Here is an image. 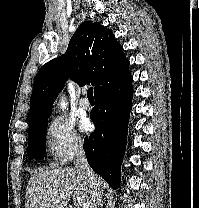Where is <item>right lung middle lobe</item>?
<instances>
[{"instance_id":"1","label":"right lung middle lobe","mask_w":199,"mask_h":208,"mask_svg":"<svg viewBox=\"0 0 199 208\" xmlns=\"http://www.w3.org/2000/svg\"><path fill=\"white\" fill-rule=\"evenodd\" d=\"M47 124L48 121L28 131L27 154L30 159L40 160L45 156Z\"/></svg>"}]
</instances>
